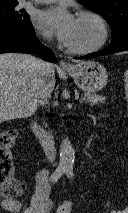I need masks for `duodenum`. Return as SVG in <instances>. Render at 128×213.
<instances>
[{"instance_id": "duodenum-1", "label": "duodenum", "mask_w": 128, "mask_h": 213, "mask_svg": "<svg viewBox=\"0 0 128 213\" xmlns=\"http://www.w3.org/2000/svg\"><path fill=\"white\" fill-rule=\"evenodd\" d=\"M31 128L40 140L46 155L51 159L54 158L56 154V145L53 135L47 132L37 120H33Z\"/></svg>"}]
</instances>
